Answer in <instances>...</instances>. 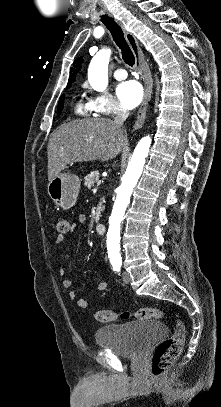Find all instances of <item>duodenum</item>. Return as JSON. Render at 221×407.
<instances>
[{
	"mask_svg": "<svg viewBox=\"0 0 221 407\" xmlns=\"http://www.w3.org/2000/svg\"><path fill=\"white\" fill-rule=\"evenodd\" d=\"M96 232L98 234H103L105 232V224L101 223V222L97 223L96 224Z\"/></svg>",
	"mask_w": 221,
	"mask_h": 407,
	"instance_id": "1",
	"label": "duodenum"
}]
</instances>
